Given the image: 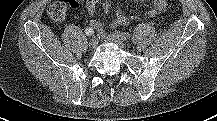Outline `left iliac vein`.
<instances>
[{"instance_id":"1","label":"left iliac vein","mask_w":217,"mask_h":121,"mask_svg":"<svg viewBox=\"0 0 217 121\" xmlns=\"http://www.w3.org/2000/svg\"><path fill=\"white\" fill-rule=\"evenodd\" d=\"M107 41L115 43L119 45L120 47H124L125 43L124 40H122L120 37L117 36V34H109L107 35Z\"/></svg>"}]
</instances>
